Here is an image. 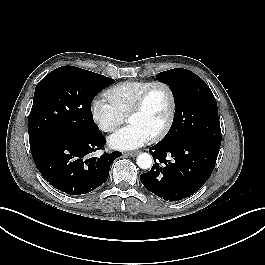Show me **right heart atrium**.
Listing matches in <instances>:
<instances>
[{
    "label": "right heart atrium",
    "mask_w": 265,
    "mask_h": 265,
    "mask_svg": "<svg viewBox=\"0 0 265 265\" xmlns=\"http://www.w3.org/2000/svg\"><path fill=\"white\" fill-rule=\"evenodd\" d=\"M90 112L94 123L103 132H113L125 121V116L102 98L92 101Z\"/></svg>",
    "instance_id": "obj_1"
}]
</instances>
